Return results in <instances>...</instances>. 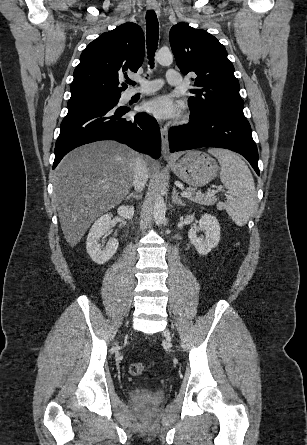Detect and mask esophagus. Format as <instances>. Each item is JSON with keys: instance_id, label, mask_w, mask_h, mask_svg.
<instances>
[{"instance_id": "obj_1", "label": "esophagus", "mask_w": 307, "mask_h": 445, "mask_svg": "<svg viewBox=\"0 0 307 445\" xmlns=\"http://www.w3.org/2000/svg\"><path fill=\"white\" fill-rule=\"evenodd\" d=\"M147 10H153L157 16H160L161 11L156 3H147ZM160 132H161V147H162V155L165 159L171 158L169 152V142H168V128L163 123L159 124Z\"/></svg>"}]
</instances>
